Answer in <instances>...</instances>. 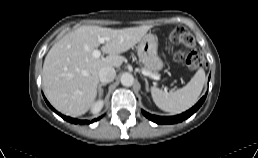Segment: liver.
<instances>
[{
    "label": "liver",
    "instance_id": "liver-1",
    "mask_svg": "<svg viewBox=\"0 0 258 158\" xmlns=\"http://www.w3.org/2000/svg\"><path fill=\"white\" fill-rule=\"evenodd\" d=\"M149 26L123 29L81 26L61 38L45 57L42 80L50 103L61 113L80 116L94 104L99 84V71L104 67L119 68L128 51L145 36ZM106 39L101 50L105 58L92 52Z\"/></svg>",
    "mask_w": 258,
    "mask_h": 158
}]
</instances>
